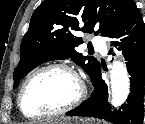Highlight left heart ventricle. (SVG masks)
<instances>
[{
    "mask_svg": "<svg viewBox=\"0 0 145 124\" xmlns=\"http://www.w3.org/2000/svg\"><path fill=\"white\" fill-rule=\"evenodd\" d=\"M79 93L77 80L60 69L47 70L36 76L27 87L23 106L27 114L47 113L67 105Z\"/></svg>",
    "mask_w": 145,
    "mask_h": 124,
    "instance_id": "1",
    "label": "left heart ventricle"
}]
</instances>
